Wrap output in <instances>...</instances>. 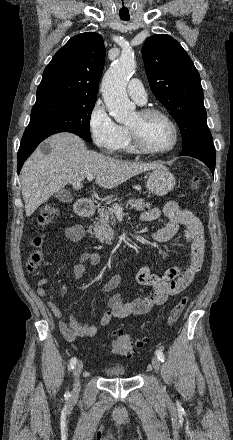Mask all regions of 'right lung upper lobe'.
<instances>
[{
  "mask_svg": "<svg viewBox=\"0 0 233 440\" xmlns=\"http://www.w3.org/2000/svg\"><path fill=\"white\" fill-rule=\"evenodd\" d=\"M104 60L101 35L85 32L72 37L45 68L36 103L58 97L96 99Z\"/></svg>",
  "mask_w": 233,
  "mask_h": 440,
  "instance_id": "obj_1",
  "label": "right lung upper lobe"
}]
</instances>
